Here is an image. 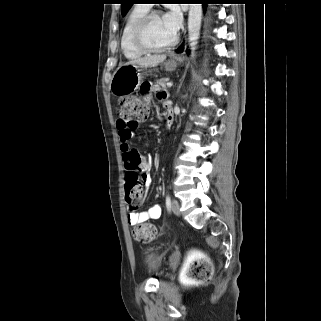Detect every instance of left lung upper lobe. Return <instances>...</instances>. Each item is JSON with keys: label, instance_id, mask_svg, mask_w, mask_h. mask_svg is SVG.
I'll use <instances>...</instances> for the list:
<instances>
[{"label": "left lung upper lobe", "instance_id": "left-lung-upper-lobe-1", "mask_svg": "<svg viewBox=\"0 0 321 321\" xmlns=\"http://www.w3.org/2000/svg\"><path fill=\"white\" fill-rule=\"evenodd\" d=\"M134 2L135 0H121V4H122L121 12L123 16L127 14V12L131 8L132 4H134Z\"/></svg>", "mask_w": 321, "mask_h": 321}]
</instances>
